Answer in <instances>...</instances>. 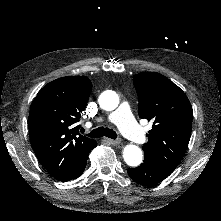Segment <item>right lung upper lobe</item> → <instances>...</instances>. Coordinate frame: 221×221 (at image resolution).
Segmentation results:
<instances>
[{"mask_svg":"<svg viewBox=\"0 0 221 221\" xmlns=\"http://www.w3.org/2000/svg\"><path fill=\"white\" fill-rule=\"evenodd\" d=\"M92 83L86 76H68L44 86L32 102L28 126L31 146L41 165L61 180L86 159L96 141L77 133Z\"/></svg>","mask_w":221,"mask_h":221,"instance_id":"cb5924a9","label":"right lung upper lobe"}]
</instances>
